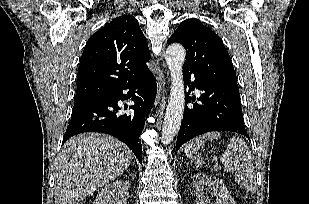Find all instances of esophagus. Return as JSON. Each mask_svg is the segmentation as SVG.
<instances>
[{"label": "esophagus", "instance_id": "obj_1", "mask_svg": "<svg viewBox=\"0 0 309 204\" xmlns=\"http://www.w3.org/2000/svg\"><path fill=\"white\" fill-rule=\"evenodd\" d=\"M156 81H157V94H156V99H155V106H157L160 103L162 94H163V89L165 83L169 82L168 76H163V78L160 75L156 76Z\"/></svg>", "mask_w": 309, "mask_h": 204}]
</instances>
